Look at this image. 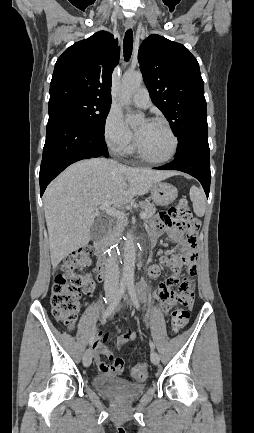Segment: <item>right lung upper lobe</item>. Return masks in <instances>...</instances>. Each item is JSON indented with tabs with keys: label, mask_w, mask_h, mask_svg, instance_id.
<instances>
[{
	"label": "right lung upper lobe",
	"mask_w": 254,
	"mask_h": 433,
	"mask_svg": "<svg viewBox=\"0 0 254 433\" xmlns=\"http://www.w3.org/2000/svg\"><path fill=\"white\" fill-rule=\"evenodd\" d=\"M118 60V41L109 32L76 42L55 64L49 105L72 98L111 103V76Z\"/></svg>",
	"instance_id": "right-lung-upper-lobe-1"
}]
</instances>
